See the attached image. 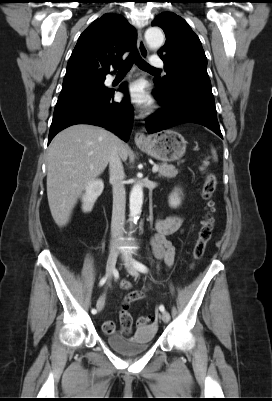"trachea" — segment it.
<instances>
[{
    "label": "trachea",
    "mask_w": 272,
    "mask_h": 401,
    "mask_svg": "<svg viewBox=\"0 0 272 401\" xmlns=\"http://www.w3.org/2000/svg\"><path fill=\"white\" fill-rule=\"evenodd\" d=\"M134 62L142 70L158 71V69L150 66L145 60H143L138 51L134 49L128 58L119 66V73H127L131 69Z\"/></svg>",
    "instance_id": "obj_1"
}]
</instances>
